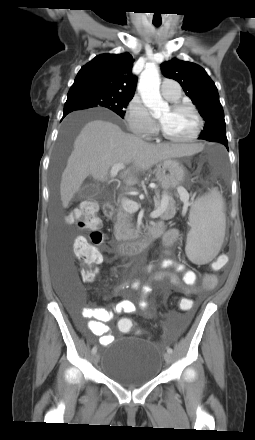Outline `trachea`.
<instances>
[{"mask_svg": "<svg viewBox=\"0 0 255 440\" xmlns=\"http://www.w3.org/2000/svg\"><path fill=\"white\" fill-rule=\"evenodd\" d=\"M161 23H154L156 27L160 26Z\"/></svg>", "mask_w": 255, "mask_h": 440, "instance_id": "3493384b", "label": "trachea"}]
</instances>
